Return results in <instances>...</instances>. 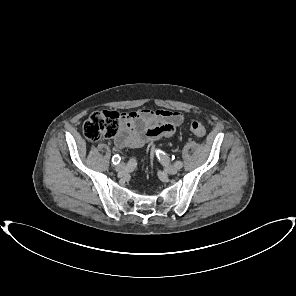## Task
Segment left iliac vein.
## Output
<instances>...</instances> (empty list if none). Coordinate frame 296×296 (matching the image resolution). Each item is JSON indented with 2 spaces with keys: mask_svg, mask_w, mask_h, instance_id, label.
Wrapping results in <instances>:
<instances>
[{
  "mask_svg": "<svg viewBox=\"0 0 296 296\" xmlns=\"http://www.w3.org/2000/svg\"><path fill=\"white\" fill-rule=\"evenodd\" d=\"M179 168L175 165H165V171L171 175L176 174Z\"/></svg>",
  "mask_w": 296,
  "mask_h": 296,
  "instance_id": "4c4485c4",
  "label": "left iliac vein"
}]
</instances>
